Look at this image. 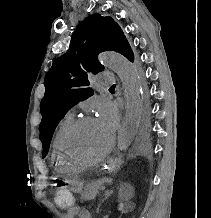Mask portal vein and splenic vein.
<instances>
[{"label":"portal vein and splenic vein","mask_w":211,"mask_h":218,"mask_svg":"<svg viewBox=\"0 0 211 218\" xmlns=\"http://www.w3.org/2000/svg\"><path fill=\"white\" fill-rule=\"evenodd\" d=\"M102 188H103V190L105 191L107 187H106V186H103Z\"/></svg>","instance_id":"18ae733b"}]
</instances>
